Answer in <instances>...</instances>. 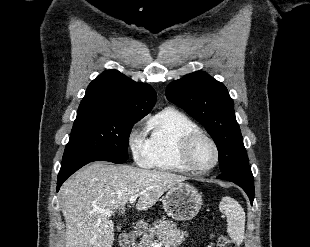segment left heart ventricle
<instances>
[{
  "label": "left heart ventricle",
  "mask_w": 310,
  "mask_h": 247,
  "mask_svg": "<svg viewBox=\"0 0 310 247\" xmlns=\"http://www.w3.org/2000/svg\"><path fill=\"white\" fill-rule=\"evenodd\" d=\"M215 160V151L207 140H199L192 151V161L197 167L210 166Z\"/></svg>",
  "instance_id": "b2bd125f"
}]
</instances>
